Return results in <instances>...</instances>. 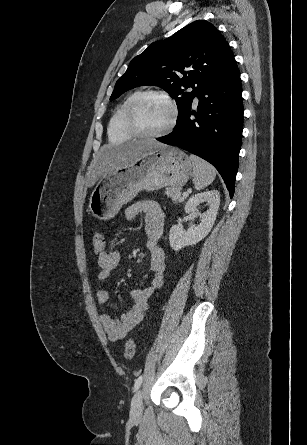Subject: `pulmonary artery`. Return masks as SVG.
Returning a JSON list of instances; mask_svg holds the SVG:
<instances>
[{
	"label": "pulmonary artery",
	"instance_id": "obj_1",
	"mask_svg": "<svg viewBox=\"0 0 307 445\" xmlns=\"http://www.w3.org/2000/svg\"><path fill=\"white\" fill-rule=\"evenodd\" d=\"M197 102V98H195V103Z\"/></svg>",
	"mask_w": 307,
	"mask_h": 445
}]
</instances>
